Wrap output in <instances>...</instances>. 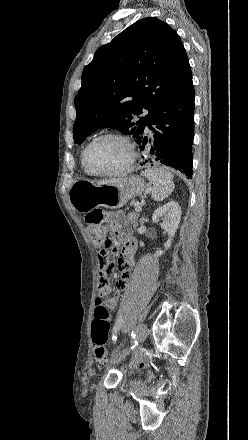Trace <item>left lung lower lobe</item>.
Returning <instances> with one entry per match:
<instances>
[{
    "label": "left lung lower lobe",
    "instance_id": "obj_1",
    "mask_svg": "<svg viewBox=\"0 0 248 440\" xmlns=\"http://www.w3.org/2000/svg\"><path fill=\"white\" fill-rule=\"evenodd\" d=\"M148 128L154 133L150 155L141 165H156L178 170L192 178L194 138V86L190 81L172 92L150 117ZM141 149L147 144L143 137Z\"/></svg>",
    "mask_w": 248,
    "mask_h": 440
}]
</instances>
